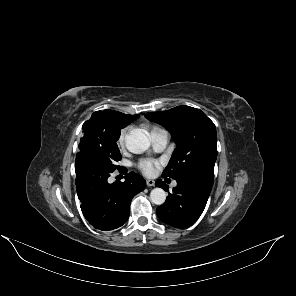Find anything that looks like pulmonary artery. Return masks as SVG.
I'll return each instance as SVG.
<instances>
[{"mask_svg": "<svg viewBox=\"0 0 296 296\" xmlns=\"http://www.w3.org/2000/svg\"><path fill=\"white\" fill-rule=\"evenodd\" d=\"M169 140V135L166 130L159 129L151 133V141L154 149L156 151H162ZM177 183L174 182L173 186H176Z\"/></svg>", "mask_w": 296, "mask_h": 296, "instance_id": "obj_1", "label": "pulmonary artery"}]
</instances>
